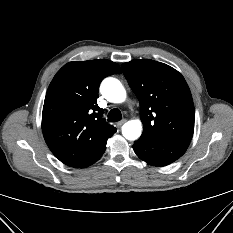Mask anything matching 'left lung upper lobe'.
Here are the masks:
<instances>
[{
  "label": "left lung upper lobe",
  "mask_w": 233,
  "mask_h": 233,
  "mask_svg": "<svg viewBox=\"0 0 233 233\" xmlns=\"http://www.w3.org/2000/svg\"><path fill=\"white\" fill-rule=\"evenodd\" d=\"M129 86L140 102L141 138L169 143H190L194 132V104L183 76L153 60L122 65Z\"/></svg>",
  "instance_id": "left-lung-upper-lobe-1"
}]
</instances>
